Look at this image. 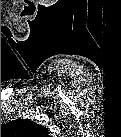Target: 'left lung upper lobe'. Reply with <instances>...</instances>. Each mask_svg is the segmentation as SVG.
<instances>
[{
  "label": "left lung upper lobe",
  "mask_w": 121,
  "mask_h": 137,
  "mask_svg": "<svg viewBox=\"0 0 121 137\" xmlns=\"http://www.w3.org/2000/svg\"><path fill=\"white\" fill-rule=\"evenodd\" d=\"M3 135L10 137H45L49 134L47 128L28 119H17L1 127Z\"/></svg>",
  "instance_id": "1"
}]
</instances>
